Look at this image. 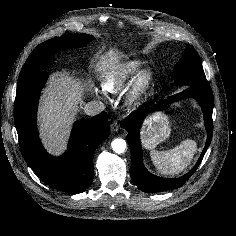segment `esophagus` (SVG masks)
Returning a JSON list of instances; mask_svg holds the SVG:
<instances>
[{
  "label": "esophagus",
  "instance_id": "obj_1",
  "mask_svg": "<svg viewBox=\"0 0 236 236\" xmlns=\"http://www.w3.org/2000/svg\"><path fill=\"white\" fill-rule=\"evenodd\" d=\"M119 127H120V124H119L117 121H114V122L110 125V129H111V131H113V132L118 131Z\"/></svg>",
  "mask_w": 236,
  "mask_h": 236
}]
</instances>
